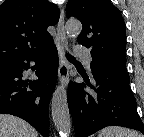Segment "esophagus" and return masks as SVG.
I'll return each instance as SVG.
<instances>
[{
  "label": "esophagus",
  "instance_id": "obj_1",
  "mask_svg": "<svg viewBox=\"0 0 144 137\" xmlns=\"http://www.w3.org/2000/svg\"><path fill=\"white\" fill-rule=\"evenodd\" d=\"M64 22V10H62L57 24V35L55 38V44L57 47L59 58L58 79L61 84L66 86L69 82V63L66 58V46L68 42L64 29Z\"/></svg>",
  "mask_w": 144,
  "mask_h": 137
}]
</instances>
